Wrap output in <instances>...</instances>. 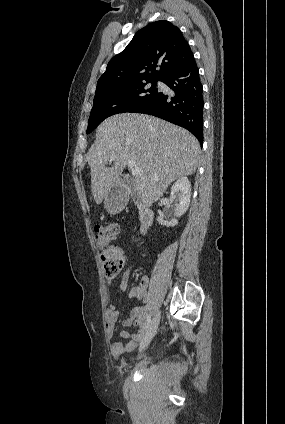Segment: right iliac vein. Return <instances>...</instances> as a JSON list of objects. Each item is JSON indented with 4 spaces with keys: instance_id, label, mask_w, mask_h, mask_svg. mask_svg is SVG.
I'll return each instance as SVG.
<instances>
[{
    "instance_id": "1",
    "label": "right iliac vein",
    "mask_w": 285,
    "mask_h": 424,
    "mask_svg": "<svg viewBox=\"0 0 285 424\" xmlns=\"http://www.w3.org/2000/svg\"><path fill=\"white\" fill-rule=\"evenodd\" d=\"M159 321H160V311H157L155 316L153 317L148 330L146 331V333L143 336V339L140 343L139 346V351H142L143 349H145L149 343L151 342V340L153 339V337L156 334L158 325H159Z\"/></svg>"
}]
</instances>
